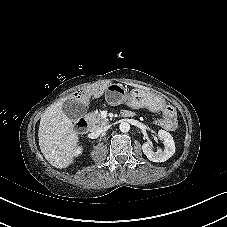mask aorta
I'll list each match as a JSON object with an SVG mask.
<instances>
[{"label":"aorta","instance_id":"aorta-1","mask_svg":"<svg viewBox=\"0 0 227 227\" xmlns=\"http://www.w3.org/2000/svg\"><path fill=\"white\" fill-rule=\"evenodd\" d=\"M119 129H120L121 132L126 133V132H128L130 130V125L127 122H122L119 125Z\"/></svg>","mask_w":227,"mask_h":227}]
</instances>
